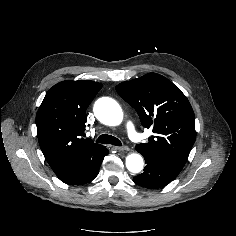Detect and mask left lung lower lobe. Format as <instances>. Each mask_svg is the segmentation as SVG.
Returning <instances> with one entry per match:
<instances>
[{
  "mask_svg": "<svg viewBox=\"0 0 236 236\" xmlns=\"http://www.w3.org/2000/svg\"><path fill=\"white\" fill-rule=\"evenodd\" d=\"M139 153L144 156L147 164L144 172L133 178V181L140 186L148 189H158L169 184L180 173V171L168 166L152 154Z\"/></svg>",
  "mask_w": 236,
  "mask_h": 236,
  "instance_id": "0a47b994",
  "label": "left lung lower lobe"
}]
</instances>
